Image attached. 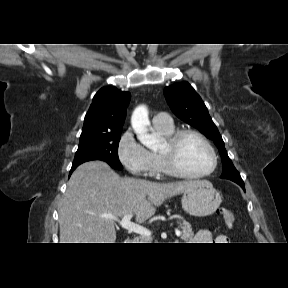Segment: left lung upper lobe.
Here are the masks:
<instances>
[{
	"label": "left lung upper lobe",
	"instance_id": "5c2ea615",
	"mask_svg": "<svg viewBox=\"0 0 288 288\" xmlns=\"http://www.w3.org/2000/svg\"><path fill=\"white\" fill-rule=\"evenodd\" d=\"M164 96L173 113L189 125L195 127L212 139L219 149L223 164L221 178L229 179L239 185L244 182L230 160L224 141L213 123L201 97L188 82L175 83L164 89Z\"/></svg>",
	"mask_w": 288,
	"mask_h": 288
}]
</instances>
